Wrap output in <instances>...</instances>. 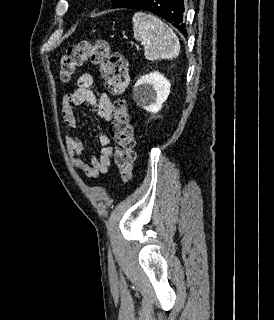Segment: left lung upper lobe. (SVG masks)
<instances>
[{
	"mask_svg": "<svg viewBox=\"0 0 274 320\" xmlns=\"http://www.w3.org/2000/svg\"><path fill=\"white\" fill-rule=\"evenodd\" d=\"M113 8H122L124 7L130 0H111Z\"/></svg>",
	"mask_w": 274,
	"mask_h": 320,
	"instance_id": "left-lung-upper-lobe-1",
	"label": "left lung upper lobe"
}]
</instances>
